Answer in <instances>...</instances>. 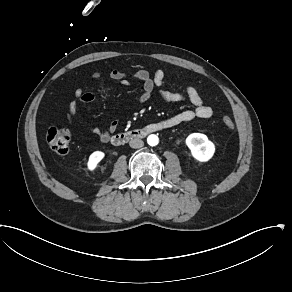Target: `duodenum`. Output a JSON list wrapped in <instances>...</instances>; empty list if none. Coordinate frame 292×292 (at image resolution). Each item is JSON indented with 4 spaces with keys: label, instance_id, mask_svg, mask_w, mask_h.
<instances>
[{
    "label": "duodenum",
    "instance_id": "obj_1",
    "mask_svg": "<svg viewBox=\"0 0 292 292\" xmlns=\"http://www.w3.org/2000/svg\"><path fill=\"white\" fill-rule=\"evenodd\" d=\"M161 127H163V124L155 123V124L148 125L144 128L123 131V132L115 134L111 138V142L115 145H120L131 139L143 138L145 135L152 132L166 130V129H161Z\"/></svg>",
    "mask_w": 292,
    "mask_h": 292
}]
</instances>
